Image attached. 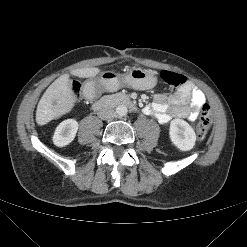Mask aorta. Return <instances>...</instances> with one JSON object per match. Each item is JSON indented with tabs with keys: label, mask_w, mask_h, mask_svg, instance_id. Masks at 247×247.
Listing matches in <instances>:
<instances>
[{
	"label": "aorta",
	"mask_w": 247,
	"mask_h": 247,
	"mask_svg": "<svg viewBox=\"0 0 247 247\" xmlns=\"http://www.w3.org/2000/svg\"><path fill=\"white\" fill-rule=\"evenodd\" d=\"M128 113V108L125 105H119L116 108V114L120 117L126 116Z\"/></svg>",
	"instance_id": "aorta-1"
}]
</instances>
